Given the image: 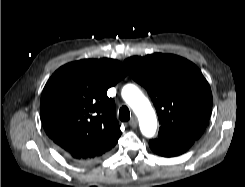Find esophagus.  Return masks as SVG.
<instances>
[{
    "mask_svg": "<svg viewBox=\"0 0 245 187\" xmlns=\"http://www.w3.org/2000/svg\"><path fill=\"white\" fill-rule=\"evenodd\" d=\"M129 125L132 127V128H136L137 125H138V121H137V118L136 117H132L129 121Z\"/></svg>",
    "mask_w": 245,
    "mask_h": 187,
    "instance_id": "1",
    "label": "esophagus"
}]
</instances>
